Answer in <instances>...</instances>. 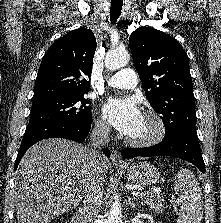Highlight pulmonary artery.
I'll use <instances>...</instances> for the list:
<instances>
[{
    "instance_id": "1",
    "label": "pulmonary artery",
    "mask_w": 221,
    "mask_h": 223,
    "mask_svg": "<svg viewBox=\"0 0 221 223\" xmlns=\"http://www.w3.org/2000/svg\"><path fill=\"white\" fill-rule=\"evenodd\" d=\"M106 84L113 88L131 89L138 84V79L133 69L126 68L110 76Z\"/></svg>"
}]
</instances>
